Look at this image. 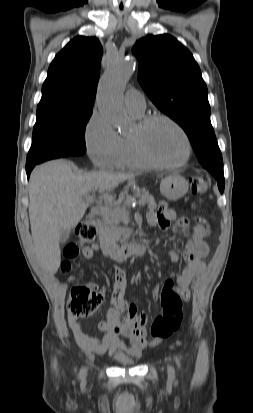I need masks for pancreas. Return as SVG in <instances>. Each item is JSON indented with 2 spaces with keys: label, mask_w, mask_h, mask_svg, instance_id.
Returning <instances> with one entry per match:
<instances>
[{
  "label": "pancreas",
  "mask_w": 253,
  "mask_h": 413,
  "mask_svg": "<svg viewBox=\"0 0 253 413\" xmlns=\"http://www.w3.org/2000/svg\"><path fill=\"white\" fill-rule=\"evenodd\" d=\"M135 197L139 198V203L143 206L146 205L148 206L149 209H155L157 207V204L153 198L149 194L148 191L146 190H136ZM128 211L125 208V206H116L113 209H111L108 212H105L103 216L104 224L106 226H112L117 232H120L122 235V241H125L128 237V234H125L124 232L119 231L118 224L120 222L122 223H128L129 218H128Z\"/></svg>",
  "instance_id": "cf45deb5"
}]
</instances>
